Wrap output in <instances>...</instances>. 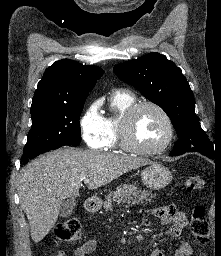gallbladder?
Wrapping results in <instances>:
<instances>
[{"label": "gallbladder", "instance_id": "obj_1", "mask_svg": "<svg viewBox=\"0 0 221 256\" xmlns=\"http://www.w3.org/2000/svg\"><path fill=\"white\" fill-rule=\"evenodd\" d=\"M75 206H76V201L74 199L66 200L61 205L60 213H59L60 217H62V218L69 217L72 214L73 209L75 208Z\"/></svg>", "mask_w": 221, "mask_h": 256}]
</instances>
